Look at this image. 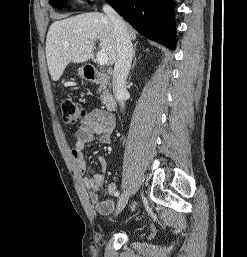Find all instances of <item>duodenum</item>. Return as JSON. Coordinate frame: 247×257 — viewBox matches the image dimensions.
I'll return each mask as SVG.
<instances>
[{"label": "duodenum", "mask_w": 247, "mask_h": 257, "mask_svg": "<svg viewBox=\"0 0 247 257\" xmlns=\"http://www.w3.org/2000/svg\"><path fill=\"white\" fill-rule=\"evenodd\" d=\"M84 77L87 81L98 84L110 85L112 76L108 73H103L94 66L87 65L84 67ZM104 106L108 111H114L116 108V99L112 92H107L104 95Z\"/></svg>", "instance_id": "obj_1"}]
</instances>
